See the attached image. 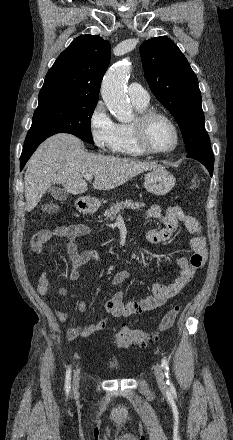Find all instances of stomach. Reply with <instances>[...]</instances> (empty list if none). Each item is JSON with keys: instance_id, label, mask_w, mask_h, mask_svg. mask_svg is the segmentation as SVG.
Here are the masks:
<instances>
[{"instance_id": "0dacf381", "label": "stomach", "mask_w": 233, "mask_h": 440, "mask_svg": "<svg viewBox=\"0 0 233 440\" xmlns=\"http://www.w3.org/2000/svg\"><path fill=\"white\" fill-rule=\"evenodd\" d=\"M175 186V177L164 167L152 169L145 175L144 187L152 194L163 196L169 193ZM88 208H96L98 200L86 198Z\"/></svg>"}]
</instances>
